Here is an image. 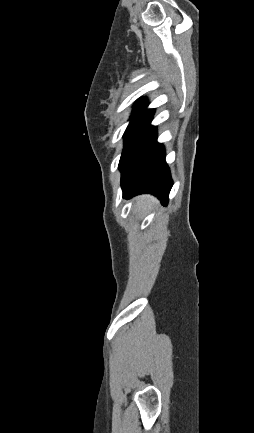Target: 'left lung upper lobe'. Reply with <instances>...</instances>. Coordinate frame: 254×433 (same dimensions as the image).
Segmentation results:
<instances>
[{
  "label": "left lung upper lobe",
  "mask_w": 254,
  "mask_h": 433,
  "mask_svg": "<svg viewBox=\"0 0 254 433\" xmlns=\"http://www.w3.org/2000/svg\"><path fill=\"white\" fill-rule=\"evenodd\" d=\"M147 102L144 98L140 99L134 107V111L131 116V122L124 133L125 146L121 155L119 166L125 157V154L133 141L134 137L140 131V129L152 118L154 109H146Z\"/></svg>",
  "instance_id": "1"
}]
</instances>
